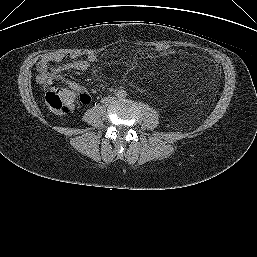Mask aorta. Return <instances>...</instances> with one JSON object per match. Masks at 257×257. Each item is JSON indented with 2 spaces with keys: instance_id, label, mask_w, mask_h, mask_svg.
<instances>
[{
  "instance_id": "762f6f07",
  "label": "aorta",
  "mask_w": 257,
  "mask_h": 257,
  "mask_svg": "<svg viewBox=\"0 0 257 257\" xmlns=\"http://www.w3.org/2000/svg\"><path fill=\"white\" fill-rule=\"evenodd\" d=\"M116 96L119 99H124L127 96V92L125 90H118L117 93H116Z\"/></svg>"
}]
</instances>
